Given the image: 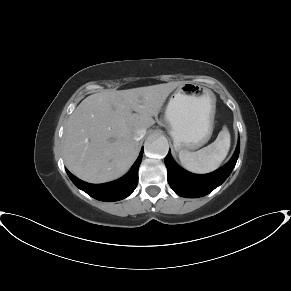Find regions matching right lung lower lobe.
Instances as JSON below:
<instances>
[{
	"mask_svg": "<svg viewBox=\"0 0 291 291\" xmlns=\"http://www.w3.org/2000/svg\"><path fill=\"white\" fill-rule=\"evenodd\" d=\"M143 148L129 170L122 178L104 184H90L73 176L67 169L66 172L71 181L91 197L106 202H113L128 197L136 188L138 183V169L143 156Z\"/></svg>",
	"mask_w": 291,
	"mask_h": 291,
	"instance_id": "1",
	"label": "right lung lower lobe"
}]
</instances>
